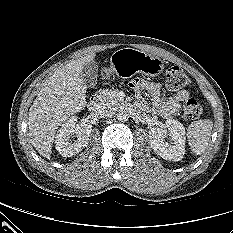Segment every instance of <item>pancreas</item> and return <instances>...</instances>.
<instances>
[{"instance_id":"pancreas-1","label":"pancreas","mask_w":233,"mask_h":233,"mask_svg":"<svg viewBox=\"0 0 233 233\" xmlns=\"http://www.w3.org/2000/svg\"><path fill=\"white\" fill-rule=\"evenodd\" d=\"M119 90L114 89V90H108V89H102L99 90V97L100 100L111 106V107H117L121 104H123V102L121 100H119L117 94H118Z\"/></svg>"}]
</instances>
